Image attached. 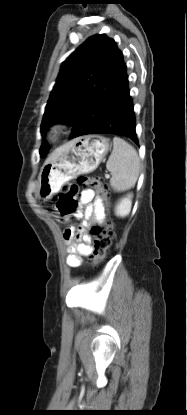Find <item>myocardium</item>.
I'll use <instances>...</instances> for the list:
<instances>
[{
    "label": "myocardium",
    "mask_w": 187,
    "mask_h": 415,
    "mask_svg": "<svg viewBox=\"0 0 187 415\" xmlns=\"http://www.w3.org/2000/svg\"><path fill=\"white\" fill-rule=\"evenodd\" d=\"M66 125L64 123H56L54 124L48 131L47 133V141H49L50 143H54L56 141H58V139L60 138L61 134L63 133L64 129H65Z\"/></svg>",
    "instance_id": "1"
}]
</instances>
